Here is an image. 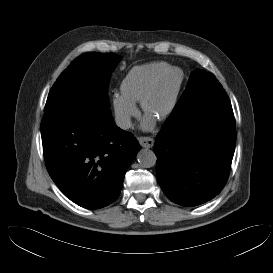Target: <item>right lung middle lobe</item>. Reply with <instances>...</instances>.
Wrapping results in <instances>:
<instances>
[{
	"instance_id": "obj_1",
	"label": "right lung middle lobe",
	"mask_w": 273,
	"mask_h": 273,
	"mask_svg": "<svg viewBox=\"0 0 273 273\" xmlns=\"http://www.w3.org/2000/svg\"><path fill=\"white\" fill-rule=\"evenodd\" d=\"M121 57L114 53H84L76 58L51 88L44 113L70 102L91 101L110 106L108 84Z\"/></svg>"
}]
</instances>
